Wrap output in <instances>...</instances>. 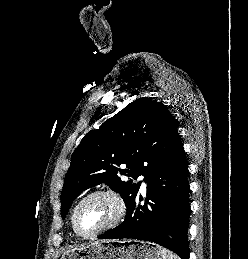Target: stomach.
<instances>
[{
	"mask_svg": "<svg viewBox=\"0 0 248 259\" xmlns=\"http://www.w3.org/2000/svg\"><path fill=\"white\" fill-rule=\"evenodd\" d=\"M61 259H162L161 247L137 240L97 242L66 251Z\"/></svg>",
	"mask_w": 248,
	"mask_h": 259,
	"instance_id": "obj_1",
	"label": "stomach"
}]
</instances>
